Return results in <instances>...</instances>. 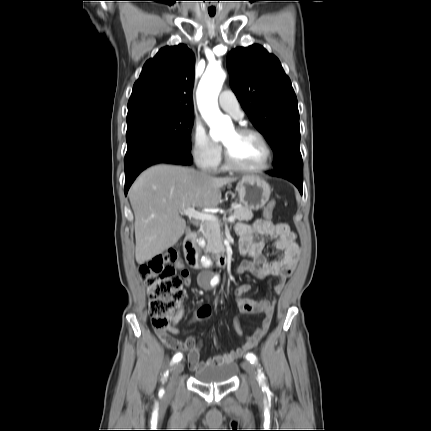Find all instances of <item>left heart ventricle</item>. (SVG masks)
Returning a JSON list of instances; mask_svg holds the SVG:
<instances>
[{
    "label": "left heart ventricle",
    "instance_id": "left-heart-ventricle-1",
    "mask_svg": "<svg viewBox=\"0 0 431 431\" xmlns=\"http://www.w3.org/2000/svg\"><path fill=\"white\" fill-rule=\"evenodd\" d=\"M232 159L244 167H257L264 163L266 151L260 140L251 134L231 130L222 139Z\"/></svg>",
    "mask_w": 431,
    "mask_h": 431
}]
</instances>
